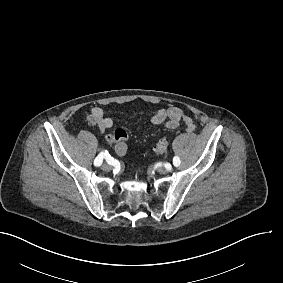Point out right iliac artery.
I'll return each mask as SVG.
<instances>
[{"mask_svg": "<svg viewBox=\"0 0 283 283\" xmlns=\"http://www.w3.org/2000/svg\"><path fill=\"white\" fill-rule=\"evenodd\" d=\"M109 156V154H108V151L107 150H105V152H101L96 158H95V160H94V165L95 166H100L101 164H102V162H103V158H104V156Z\"/></svg>", "mask_w": 283, "mask_h": 283, "instance_id": "82829eb1", "label": "right iliac artery"}]
</instances>
